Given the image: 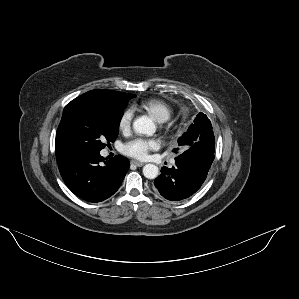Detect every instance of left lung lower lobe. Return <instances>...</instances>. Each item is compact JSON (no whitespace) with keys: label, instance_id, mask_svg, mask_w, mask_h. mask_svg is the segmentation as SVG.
<instances>
[{"label":"left lung lower lobe","instance_id":"left-lung-lower-lobe-1","mask_svg":"<svg viewBox=\"0 0 299 299\" xmlns=\"http://www.w3.org/2000/svg\"><path fill=\"white\" fill-rule=\"evenodd\" d=\"M210 166L200 160L178 156L175 165L163 167L155 179L156 191L170 201H180L193 195L204 183Z\"/></svg>","mask_w":299,"mask_h":299}]
</instances>
